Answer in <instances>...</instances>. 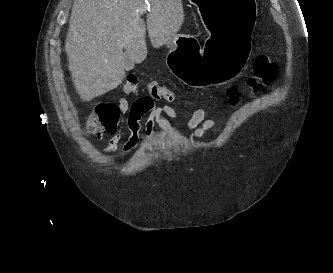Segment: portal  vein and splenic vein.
I'll return each mask as SVG.
<instances>
[{
    "mask_svg": "<svg viewBox=\"0 0 333 273\" xmlns=\"http://www.w3.org/2000/svg\"><path fill=\"white\" fill-rule=\"evenodd\" d=\"M150 6L148 3L146 5L142 6L140 9H138V12L144 13L145 11L149 10Z\"/></svg>",
    "mask_w": 333,
    "mask_h": 273,
    "instance_id": "1",
    "label": "portal vein and splenic vein"
}]
</instances>
